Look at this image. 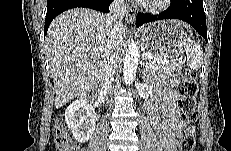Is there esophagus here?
Wrapping results in <instances>:
<instances>
[{
  "instance_id": "obj_1",
  "label": "esophagus",
  "mask_w": 231,
  "mask_h": 151,
  "mask_svg": "<svg viewBox=\"0 0 231 151\" xmlns=\"http://www.w3.org/2000/svg\"><path fill=\"white\" fill-rule=\"evenodd\" d=\"M135 10L132 6H127L126 16L125 19L128 23H132L135 19Z\"/></svg>"
}]
</instances>
